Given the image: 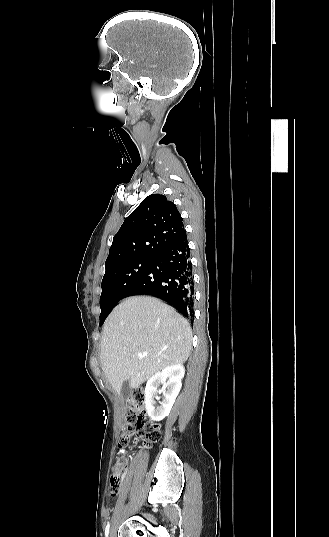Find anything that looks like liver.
<instances>
[{
    "mask_svg": "<svg viewBox=\"0 0 329 537\" xmlns=\"http://www.w3.org/2000/svg\"><path fill=\"white\" fill-rule=\"evenodd\" d=\"M192 331L186 319L159 299L129 297L116 306L102 332V370L120 394L124 381L137 389L160 370L188 359ZM138 354H147L139 359Z\"/></svg>",
    "mask_w": 329,
    "mask_h": 537,
    "instance_id": "1",
    "label": "liver"
}]
</instances>
